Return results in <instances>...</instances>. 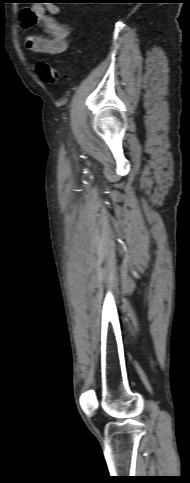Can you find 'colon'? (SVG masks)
<instances>
[{"label":"colon","instance_id":"colon-1","mask_svg":"<svg viewBox=\"0 0 190 483\" xmlns=\"http://www.w3.org/2000/svg\"><path fill=\"white\" fill-rule=\"evenodd\" d=\"M35 72L43 82L54 86L59 85L64 76L58 69L43 61L36 64Z\"/></svg>","mask_w":190,"mask_h":483}]
</instances>
